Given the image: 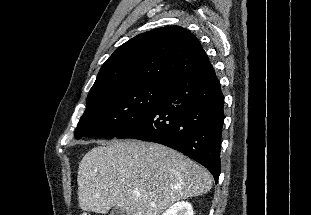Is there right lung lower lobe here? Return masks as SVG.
<instances>
[{"mask_svg": "<svg viewBox=\"0 0 311 215\" xmlns=\"http://www.w3.org/2000/svg\"><path fill=\"white\" fill-rule=\"evenodd\" d=\"M223 107L220 82L210 63L168 82L156 107L116 138L156 142L178 150L206 167L218 182Z\"/></svg>", "mask_w": 311, "mask_h": 215, "instance_id": "1", "label": "right lung lower lobe"}]
</instances>
